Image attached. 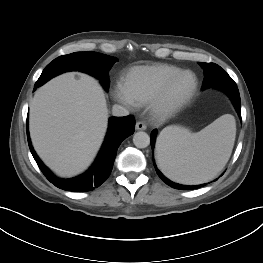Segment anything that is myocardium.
<instances>
[{"instance_id":"1","label":"myocardium","mask_w":263,"mask_h":263,"mask_svg":"<svg viewBox=\"0 0 263 263\" xmlns=\"http://www.w3.org/2000/svg\"><path fill=\"white\" fill-rule=\"evenodd\" d=\"M190 74L193 76L194 82L189 92L177 99H172L170 94L173 86L183 76ZM199 85V80L195 72L192 70H181L177 74L170 77L164 82L160 89L149 101V108L153 116L158 119L171 117L182 108H184L194 97Z\"/></svg>"}]
</instances>
